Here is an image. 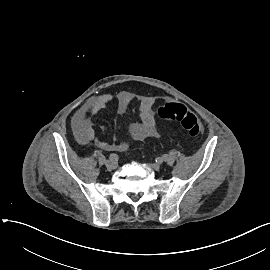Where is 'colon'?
I'll list each match as a JSON object with an SVG mask.
<instances>
[{
  "mask_svg": "<svg viewBox=\"0 0 270 270\" xmlns=\"http://www.w3.org/2000/svg\"><path fill=\"white\" fill-rule=\"evenodd\" d=\"M157 114L160 119L166 122H175L182 126L193 142L199 141L203 132L202 124L198 117L183 103L165 104L158 109Z\"/></svg>",
  "mask_w": 270,
  "mask_h": 270,
  "instance_id": "colon-1",
  "label": "colon"
}]
</instances>
